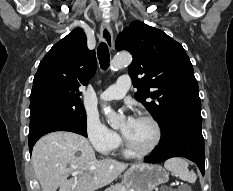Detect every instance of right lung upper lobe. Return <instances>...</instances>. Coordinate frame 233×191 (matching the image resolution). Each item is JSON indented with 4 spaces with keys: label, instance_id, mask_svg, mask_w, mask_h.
I'll return each mask as SVG.
<instances>
[{
    "label": "right lung upper lobe",
    "instance_id": "cb5924a9",
    "mask_svg": "<svg viewBox=\"0 0 233 191\" xmlns=\"http://www.w3.org/2000/svg\"><path fill=\"white\" fill-rule=\"evenodd\" d=\"M95 70V51L87 48L84 31L76 28L57 42L40 62L30 100L57 95L81 101L79 87L87 84Z\"/></svg>",
    "mask_w": 233,
    "mask_h": 191
}]
</instances>
